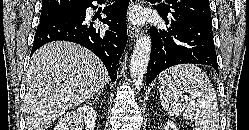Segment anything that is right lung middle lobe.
<instances>
[{"label": "right lung middle lobe", "mask_w": 249, "mask_h": 130, "mask_svg": "<svg viewBox=\"0 0 249 130\" xmlns=\"http://www.w3.org/2000/svg\"><path fill=\"white\" fill-rule=\"evenodd\" d=\"M85 5H80L77 8L69 9V10H61V11H42L40 16V23L65 19L69 17H73L79 15Z\"/></svg>", "instance_id": "right-lung-middle-lobe-1"}]
</instances>
